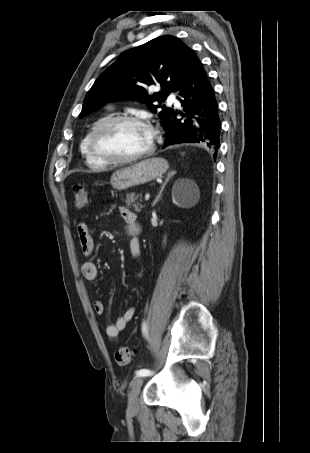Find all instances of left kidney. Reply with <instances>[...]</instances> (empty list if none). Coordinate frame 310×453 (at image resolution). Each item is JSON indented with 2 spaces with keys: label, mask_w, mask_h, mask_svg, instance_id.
Returning <instances> with one entry per match:
<instances>
[{
  "label": "left kidney",
  "mask_w": 310,
  "mask_h": 453,
  "mask_svg": "<svg viewBox=\"0 0 310 453\" xmlns=\"http://www.w3.org/2000/svg\"><path fill=\"white\" fill-rule=\"evenodd\" d=\"M196 191L193 186H188L186 189L178 191V194H174L173 203L180 206L189 201L190 196Z\"/></svg>",
  "instance_id": "5707ae66"
}]
</instances>
